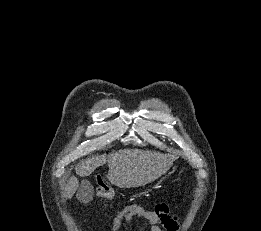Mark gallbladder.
<instances>
[{
	"instance_id": "obj_1",
	"label": "gallbladder",
	"mask_w": 261,
	"mask_h": 231,
	"mask_svg": "<svg viewBox=\"0 0 261 231\" xmlns=\"http://www.w3.org/2000/svg\"><path fill=\"white\" fill-rule=\"evenodd\" d=\"M92 194H93L92 185L87 180H83L81 183V188L77 193V198L80 201H85L86 197H91Z\"/></svg>"
}]
</instances>
